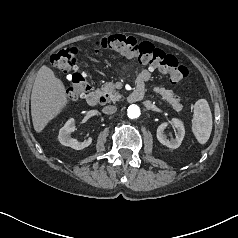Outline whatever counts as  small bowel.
Segmentation results:
<instances>
[{"instance_id":"small-bowel-1","label":"small bowel","mask_w":238,"mask_h":238,"mask_svg":"<svg viewBox=\"0 0 238 238\" xmlns=\"http://www.w3.org/2000/svg\"><path fill=\"white\" fill-rule=\"evenodd\" d=\"M152 68L144 69L137 77V86L144 87L145 83L148 82L152 77Z\"/></svg>"}]
</instances>
